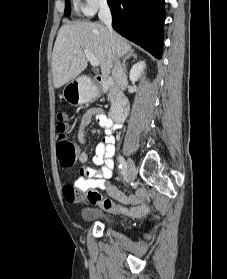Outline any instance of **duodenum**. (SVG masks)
<instances>
[{
    "instance_id": "1",
    "label": "duodenum",
    "mask_w": 227,
    "mask_h": 279,
    "mask_svg": "<svg viewBox=\"0 0 227 279\" xmlns=\"http://www.w3.org/2000/svg\"><path fill=\"white\" fill-rule=\"evenodd\" d=\"M95 91L100 95L105 93L109 89H115V83L105 77L96 78L94 80V87ZM82 100L81 104H88L93 101H95L98 97V95L92 94V91H85L81 94ZM130 107V100L129 98L116 91V98H115V105L114 108L111 111V118L116 123H122L126 120L129 112Z\"/></svg>"
}]
</instances>
